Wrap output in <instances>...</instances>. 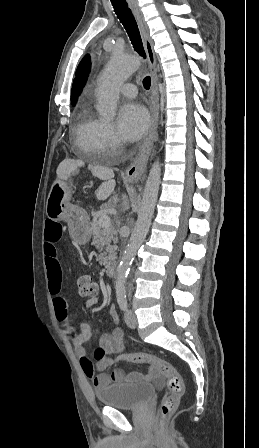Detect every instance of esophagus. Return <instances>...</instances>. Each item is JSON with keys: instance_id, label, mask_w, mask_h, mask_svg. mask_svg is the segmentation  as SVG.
Returning a JSON list of instances; mask_svg holds the SVG:
<instances>
[{"instance_id": "esophagus-1", "label": "esophagus", "mask_w": 259, "mask_h": 448, "mask_svg": "<svg viewBox=\"0 0 259 448\" xmlns=\"http://www.w3.org/2000/svg\"><path fill=\"white\" fill-rule=\"evenodd\" d=\"M126 1L138 23L151 74V127L143 145L141 146L137 154L136 159L126 170V178H128L132 182H137L146 169L151 148L156 137L159 120V92L157 86L158 77L156 68V57L154 53L153 42L149 35L148 26L144 20V16L137 0Z\"/></svg>"}]
</instances>
